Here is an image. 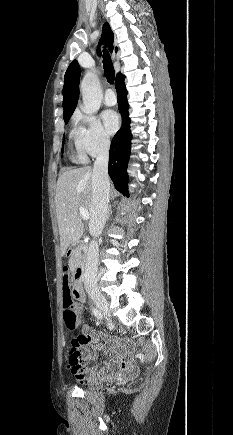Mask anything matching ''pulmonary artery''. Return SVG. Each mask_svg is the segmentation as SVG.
Returning <instances> with one entry per match:
<instances>
[{"instance_id":"obj_1","label":"pulmonary artery","mask_w":233,"mask_h":435,"mask_svg":"<svg viewBox=\"0 0 233 435\" xmlns=\"http://www.w3.org/2000/svg\"><path fill=\"white\" fill-rule=\"evenodd\" d=\"M117 98L111 89H107L104 96V103L108 106H113L116 104Z\"/></svg>"}]
</instances>
